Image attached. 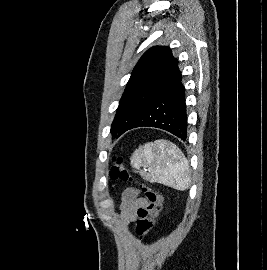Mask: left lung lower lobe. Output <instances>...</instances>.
<instances>
[{
    "label": "left lung lower lobe",
    "instance_id": "obj_1",
    "mask_svg": "<svg viewBox=\"0 0 267 270\" xmlns=\"http://www.w3.org/2000/svg\"><path fill=\"white\" fill-rule=\"evenodd\" d=\"M184 92L181 73L177 65L164 89L128 130L145 126L156 127L185 141L187 139V114Z\"/></svg>",
    "mask_w": 267,
    "mask_h": 270
}]
</instances>
